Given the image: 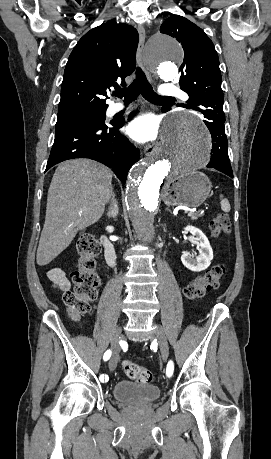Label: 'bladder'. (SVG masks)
Instances as JSON below:
<instances>
[{
    "label": "bladder",
    "instance_id": "bladder-1",
    "mask_svg": "<svg viewBox=\"0 0 271 459\" xmlns=\"http://www.w3.org/2000/svg\"><path fill=\"white\" fill-rule=\"evenodd\" d=\"M113 397L123 403L142 402L143 404L154 401L160 396L161 390L155 385L140 384L132 381H120L113 387Z\"/></svg>",
    "mask_w": 271,
    "mask_h": 459
}]
</instances>
